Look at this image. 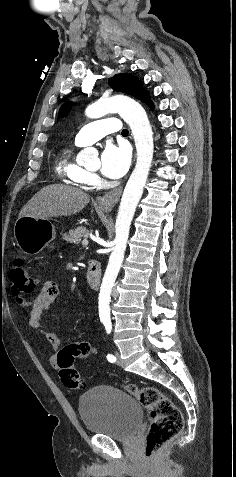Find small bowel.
I'll return each mask as SVG.
<instances>
[{"label":"small bowel","instance_id":"small-bowel-1","mask_svg":"<svg viewBox=\"0 0 236 477\" xmlns=\"http://www.w3.org/2000/svg\"><path fill=\"white\" fill-rule=\"evenodd\" d=\"M58 291V283L56 280H47L43 283L38 293L30 301H23V305L29 308L27 325L28 327L39 330L45 340L53 347L58 348L60 346V339L54 331L43 329L41 325L42 317L47 308L54 302ZM94 352L91 347L90 354ZM50 365L57 367V357L52 355L50 357Z\"/></svg>","mask_w":236,"mask_h":477}]
</instances>
